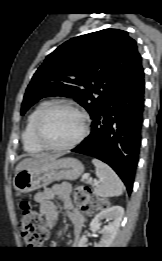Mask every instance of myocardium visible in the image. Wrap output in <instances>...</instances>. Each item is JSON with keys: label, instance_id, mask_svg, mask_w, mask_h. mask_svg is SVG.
Instances as JSON below:
<instances>
[{"label": "myocardium", "instance_id": "1", "mask_svg": "<svg viewBox=\"0 0 162 261\" xmlns=\"http://www.w3.org/2000/svg\"><path fill=\"white\" fill-rule=\"evenodd\" d=\"M57 109H68L76 114H78L82 120V128L81 132L79 135L71 142L64 144V145H53L47 142L44 138L43 135V124L47 118V116L57 110ZM89 125H90V120L88 114L81 109L80 107L76 106L73 103L66 102V101H61V102H54L49 104L45 109L41 111L39 114L36 124H35V130H34V136L37 144L41 146L44 150H49V151H65L72 149L79 145L88 135L89 132Z\"/></svg>", "mask_w": 162, "mask_h": 261}]
</instances>
